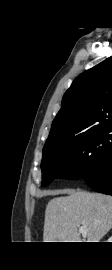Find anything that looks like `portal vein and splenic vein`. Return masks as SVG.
Listing matches in <instances>:
<instances>
[{"label":"portal vein and splenic vein","instance_id":"obj_1","mask_svg":"<svg viewBox=\"0 0 112 270\" xmlns=\"http://www.w3.org/2000/svg\"><path fill=\"white\" fill-rule=\"evenodd\" d=\"M79 231H80V233H82V234L86 233V232H87L86 226H81V227L79 228Z\"/></svg>","mask_w":112,"mask_h":270}]
</instances>
